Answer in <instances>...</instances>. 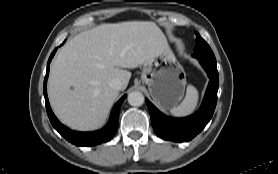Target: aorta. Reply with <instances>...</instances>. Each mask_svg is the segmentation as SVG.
I'll list each match as a JSON object with an SVG mask.
<instances>
[{"label": "aorta", "mask_w": 278, "mask_h": 174, "mask_svg": "<svg viewBox=\"0 0 278 174\" xmlns=\"http://www.w3.org/2000/svg\"><path fill=\"white\" fill-rule=\"evenodd\" d=\"M128 103L131 106L139 107L144 103V95L139 91H133L128 95Z\"/></svg>", "instance_id": "obj_1"}]
</instances>
